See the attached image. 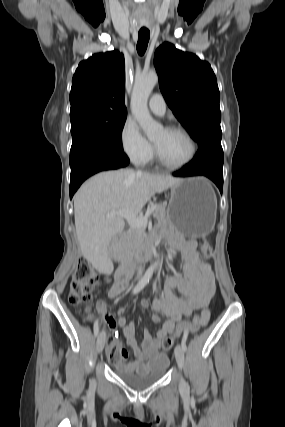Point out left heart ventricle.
Listing matches in <instances>:
<instances>
[{"instance_id":"1","label":"left heart ventricle","mask_w":285,"mask_h":427,"mask_svg":"<svg viewBox=\"0 0 285 427\" xmlns=\"http://www.w3.org/2000/svg\"><path fill=\"white\" fill-rule=\"evenodd\" d=\"M161 157L168 163L178 164L184 161L190 152L188 140L180 133L160 130L153 138Z\"/></svg>"}]
</instances>
